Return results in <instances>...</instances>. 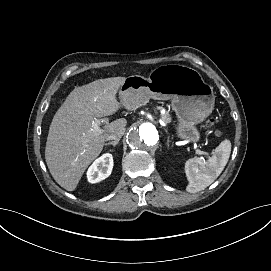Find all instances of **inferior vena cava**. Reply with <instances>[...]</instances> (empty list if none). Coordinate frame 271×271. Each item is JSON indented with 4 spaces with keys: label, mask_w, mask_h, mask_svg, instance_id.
<instances>
[{
    "label": "inferior vena cava",
    "mask_w": 271,
    "mask_h": 271,
    "mask_svg": "<svg viewBox=\"0 0 271 271\" xmlns=\"http://www.w3.org/2000/svg\"><path fill=\"white\" fill-rule=\"evenodd\" d=\"M123 135V132H114L106 137V140H114V141H119L121 136Z\"/></svg>",
    "instance_id": "obj_1"
}]
</instances>
